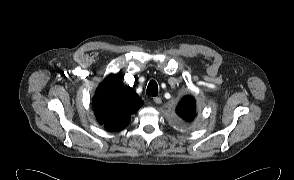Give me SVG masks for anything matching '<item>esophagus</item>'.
I'll return each mask as SVG.
<instances>
[{
	"label": "esophagus",
	"mask_w": 294,
	"mask_h": 180,
	"mask_svg": "<svg viewBox=\"0 0 294 180\" xmlns=\"http://www.w3.org/2000/svg\"><path fill=\"white\" fill-rule=\"evenodd\" d=\"M153 101H154V103H156V104H161V103H162V100H161L160 97H154V98H153Z\"/></svg>",
	"instance_id": "esophagus-1"
}]
</instances>
